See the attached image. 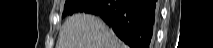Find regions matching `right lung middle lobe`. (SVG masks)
I'll return each instance as SVG.
<instances>
[{"label": "right lung middle lobe", "mask_w": 213, "mask_h": 48, "mask_svg": "<svg viewBox=\"0 0 213 48\" xmlns=\"http://www.w3.org/2000/svg\"><path fill=\"white\" fill-rule=\"evenodd\" d=\"M90 0H66L62 17L82 12Z\"/></svg>", "instance_id": "1"}]
</instances>
